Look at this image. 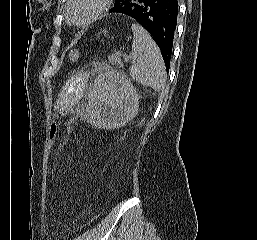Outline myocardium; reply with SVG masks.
Here are the masks:
<instances>
[{
    "mask_svg": "<svg viewBox=\"0 0 257 240\" xmlns=\"http://www.w3.org/2000/svg\"><path fill=\"white\" fill-rule=\"evenodd\" d=\"M74 1L75 0H67L64 12H65V16H66L68 23L74 27H79V28L85 27V26L89 25L90 23L94 22L95 20H97L103 13H105L108 10V8L110 6V2H111V0H98V6L88 17H86L84 20H82L80 22H73L70 17L69 9H70L71 4Z\"/></svg>",
    "mask_w": 257,
    "mask_h": 240,
    "instance_id": "myocardium-1",
    "label": "myocardium"
}]
</instances>
